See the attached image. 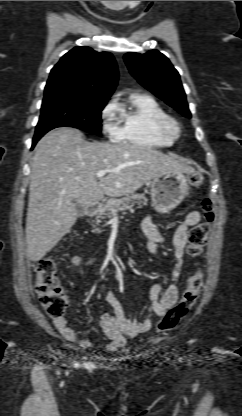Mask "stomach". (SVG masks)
I'll return each instance as SVG.
<instances>
[{
    "instance_id": "0dacf381",
    "label": "stomach",
    "mask_w": 242,
    "mask_h": 416,
    "mask_svg": "<svg viewBox=\"0 0 242 416\" xmlns=\"http://www.w3.org/2000/svg\"><path fill=\"white\" fill-rule=\"evenodd\" d=\"M149 185L152 206L158 213L173 210L188 193V177L181 171H161L152 178Z\"/></svg>"
}]
</instances>
